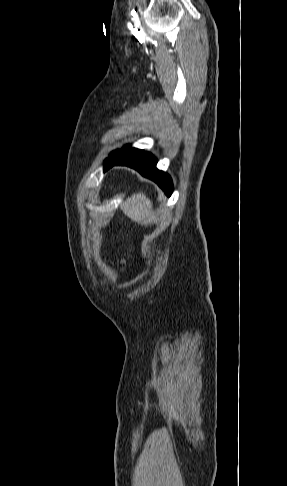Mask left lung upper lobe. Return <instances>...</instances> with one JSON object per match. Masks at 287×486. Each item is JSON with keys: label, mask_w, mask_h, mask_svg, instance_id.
Wrapping results in <instances>:
<instances>
[{"label": "left lung upper lobe", "mask_w": 287, "mask_h": 486, "mask_svg": "<svg viewBox=\"0 0 287 486\" xmlns=\"http://www.w3.org/2000/svg\"><path fill=\"white\" fill-rule=\"evenodd\" d=\"M136 150H138V149L130 148L129 145H127V146L123 147L121 150L113 151L110 154L109 158H111V157H117V156H122V155L128 154V153L133 152V151H136Z\"/></svg>", "instance_id": "5c2ea615"}]
</instances>
